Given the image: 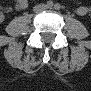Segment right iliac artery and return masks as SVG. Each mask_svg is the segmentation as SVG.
<instances>
[{"mask_svg": "<svg viewBox=\"0 0 91 91\" xmlns=\"http://www.w3.org/2000/svg\"><path fill=\"white\" fill-rule=\"evenodd\" d=\"M47 7H52L53 6V2L52 1H48L47 4H46Z\"/></svg>", "mask_w": 91, "mask_h": 91, "instance_id": "right-iliac-artery-1", "label": "right iliac artery"}]
</instances>
